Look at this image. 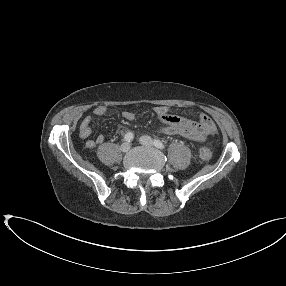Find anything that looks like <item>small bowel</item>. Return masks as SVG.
I'll return each instance as SVG.
<instances>
[{
  "mask_svg": "<svg viewBox=\"0 0 286 286\" xmlns=\"http://www.w3.org/2000/svg\"><path fill=\"white\" fill-rule=\"evenodd\" d=\"M107 111L104 105H98L94 108L93 114L96 117L103 116ZM154 112L159 119V129L171 136H180L194 142H203L208 136L216 130L213 120L204 113L198 115L196 120H190L182 116L171 114L168 107L159 105L154 107ZM122 117L127 121H133L135 115L131 111H123ZM121 130L124 131V128ZM92 132V116L83 117L79 126V135L87 139ZM104 136L98 135L95 139H88L86 147L93 149L104 142Z\"/></svg>",
  "mask_w": 286,
  "mask_h": 286,
  "instance_id": "small-bowel-1",
  "label": "small bowel"
}]
</instances>
